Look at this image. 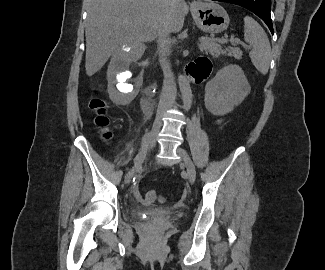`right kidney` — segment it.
Masks as SVG:
<instances>
[{"mask_svg":"<svg viewBox=\"0 0 325 270\" xmlns=\"http://www.w3.org/2000/svg\"><path fill=\"white\" fill-rule=\"evenodd\" d=\"M139 58L140 54L128 45L118 48L111 58L107 70L108 94L116 105H128L139 93L143 84Z\"/></svg>","mask_w":325,"mask_h":270,"instance_id":"ca27d5eb","label":"right kidney"}]
</instances>
